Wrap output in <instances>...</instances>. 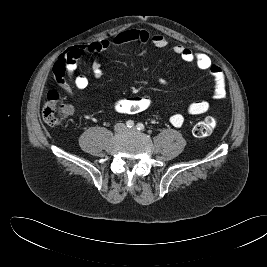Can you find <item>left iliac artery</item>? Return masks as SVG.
Wrapping results in <instances>:
<instances>
[{
	"label": "left iliac artery",
	"instance_id": "1",
	"mask_svg": "<svg viewBox=\"0 0 267 267\" xmlns=\"http://www.w3.org/2000/svg\"><path fill=\"white\" fill-rule=\"evenodd\" d=\"M136 127L138 130H144V128H145L142 123H138Z\"/></svg>",
	"mask_w": 267,
	"mask_h": 267
}]
</instances>
